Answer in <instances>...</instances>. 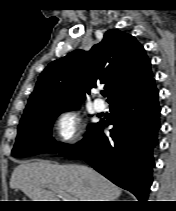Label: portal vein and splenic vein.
<instances>
[{"instance_id":"1","label":"portal vein and splenic vein","mask_w":176,"mask_h":211,"mask_svg":"<svg viewBox=\"0 0 176 211\" xmlns=\"http://www.w3.org/2000/svg\"><path fill=\"white\" fill-rule=\"evenodd\" d=\"M56 193L64 198V201H78V199H75L74 197L70 196L66 191L64 190H56Z\"/></svg>"}]
</instances>
